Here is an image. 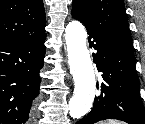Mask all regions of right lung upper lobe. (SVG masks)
Segmentation results:
<instances>
[{"label":"right lung upper lobe","mask_w":145,"mask_h":124,"mask_svg":"<svg viewBox=\"0 0 145 124\" xmlns=\"http://www.w3.org/2000/svg\"><path fill=\"white\" fill-rule=\"evenodd\" d=\"M42 0H0V42L45 31Z\"/></svg>","instance_id":"cb5924a9"}]
</instances>
